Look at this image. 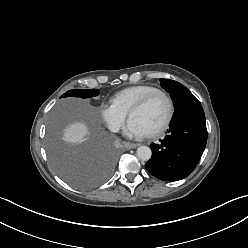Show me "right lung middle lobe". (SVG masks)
I'll return each mask as SVG.
<instances>
[{"instance_id":"obj_1","label":"right lung middle lobe","mask_w":248,"mask_h":248,"mask_svg":"<svg viewBox=\"0 0 248 248\" xmlns=\"http://www.w3.org/2000/svg\"><path fill=\"white\" fill-rule=\"evenodd\" d=\"M98 89H73L62 97L90 98ZM48 152L57 173L68 183L79 188H92L101 184L111 173L114 154L109 144L96 132L91 141L83 145L64 143L57 132L50 131Z\"/></svg>"}]
</instances>
